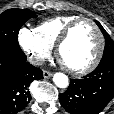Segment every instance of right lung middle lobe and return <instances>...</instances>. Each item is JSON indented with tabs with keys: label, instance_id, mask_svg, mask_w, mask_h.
<instances>
[{
	"label": "right lung middle lobe",
	"instance_id": "dd1d6c3e",
	"mask_svg": "<svg viewBox=\"0 0 114 114\" xmlns=\"http://www.w3.org/2000/svg\"><path fill=\"white\" fill-rule=\"evenodd\" d=\"M36 15L27 9H9L0 15V53L24 54L18 44L21 26Z\"/></svg>",
	"mask_w": 114,
	"mask_h": 114
}]
</instances>
